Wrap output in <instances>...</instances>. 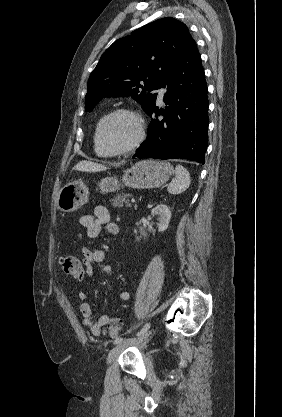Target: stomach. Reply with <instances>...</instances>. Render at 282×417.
Instances as JSON below:
<instances>
[{
	"mask_svg": "<svg viewBox=\"0 0 282 417\" xmlns=\"http://www.w3.org/2000/svg\"><path fill=\"white\" fill-rule=\"evenodd\" d=\"M173 172V166L167 160H139L124 170L122 182L132 188H158L169 180ZM98 186L102 192H113L121 184L116 176H106ZM88 194V188L82 180H73L61 188L57 200L58 209L64 213L78 211L82 204L88 202Z\"/></svg>",
	"mask_w": 282,
	"mask_h": 417,
	"instance_id": "obj_1",
	"label": "stomach"
}]
</instances>
